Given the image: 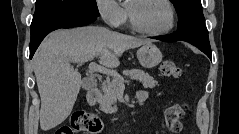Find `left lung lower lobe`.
Returning a JSON list of instances; mask_svg holds the SVG:
<instances>
[{
    "instance_id": "0a47b994",
    "label": "left lung lower lobe",
    "mask_w": 239,
    "mask_h": 134,
    "mask_svg": "<svg viewBox=\"0 0 239 134\" xmlns=\"http://www.w3.org/2000/svg\"><path fill=\"white\" fill-rule=\"evenodd\" d=\"M161 41H186L196 46L204 52L210 59H212V52L209 43L208 31L200 30H185L181 32L172 33L169 35L154 37Z\"/></svg>"
}]
</instances>
